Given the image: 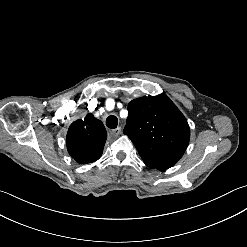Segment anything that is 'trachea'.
<instances>
[{"label":"trachea","mask_w":247,"mask_h":247,"mask_svg":"<svg viewBox=\"0 0 247 247\" xmlns=\"http://www.w3.org/2000/svg\"><path fill=\"white\" fill-rule=\"evenodd\" d=\"M117 124H118V119L114 115H111L106 119V126L108 128L114 129L117 127Z\"/></svg>","instance_id":"1"}]
</instances>
